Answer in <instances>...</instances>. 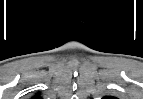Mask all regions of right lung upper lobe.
<instances>
[{
	"label": "right lung upper lobe",
	"mask_w": 143,
	"mask_h": 99,
	"mask_svg": "<svg viewBox=\"0 0 143 99\" xmlns=\"http://www.w3.org/2000/svg\"><path fill=\"white\" fill-rule=\"evenodd\" d=\"M33 99H39V94H37Z\"/></svg>",
	"instance_id": "obj_1"
}]
</instances>
